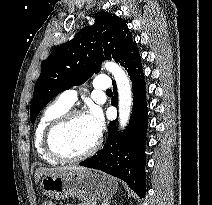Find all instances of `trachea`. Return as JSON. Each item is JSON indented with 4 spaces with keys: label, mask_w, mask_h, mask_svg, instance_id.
<instances>
[{
    "label": "trachea",
    "mask_w": 212,
    "mask_h": 205,
    "mask_svg": "<svg viewBox=\"0 0 212 205\" xmlns=\"http://www.w3.org/2000/svg\"><path fill=\"white\" fill-rule=\"evenodd\" d=\"M106 93H112V90H111V89H109V90H107V91H106Z\"/></svg>",
    "instance_id": "3493384b"
}]
</instances>
